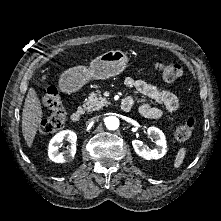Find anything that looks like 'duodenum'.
<instances>
[{
  "label": "duodenum",
  "instance_id": "1",
  "mask_svg": "<svg viewBox=\"0 0 221 221\" xmlns=\"http://www.w3.org/2000/svg\"><path fill=\"white\" fill-rule=\"evenodd\" d=\"M62 89H63L64 92H67V93H69V92L71 91L70 88L65 87V86L62 87ZM121 109H122L123 111H125V112H128V111L131 109V106H130L129 103L122 102V103H121ZM82 115H83V109H82V108L76 109V110L72 113V115H71V121H72V122H78V121H80V119L82 118Z\"/></svg>",
  "mask_w": 221,
  "mask_h": 221
}]
</instances>
